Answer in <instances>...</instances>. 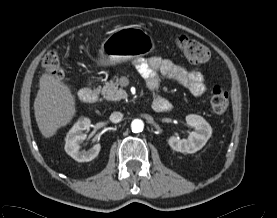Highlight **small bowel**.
<instances>
[{
  "instance_id": "c3829d8e",
  "label": "small bowel",
  "mask_w": 277,
  "mask_h": 218,
  "mask_svg": "<svg viewBox=\"0 0 277 218\" xmlns=\"http://www.w3.org/2000/svg\"><path fill=\"white\" fill-rule=\"evenodd\" d=\"M134 65L153 93V109L157 112H163L158 108L161 100L165 99L157 93L160 76L176 81L197 97L202 96L206 91L204 76L198 69L188 70L182 65L175 64L172 60L160 56L137 59L134 61Z\"/></svg>"
}]
</instances>
